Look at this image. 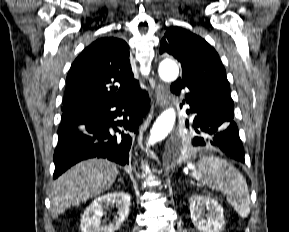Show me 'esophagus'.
Here are the masks:
<instances>
[{"label": "esophagus", "instance_id": "obj_1", "mask_svg": "<svg viewBox=\"0 0 289 232\" xmlns=\"http://www.w3.org/2000/svg\"><path fill=\"white\" fill-rule=\"evenodd\" d=\"M156 105L164 108L167 105V91L163 84L157 83L155 88Z\"/></svg>", "mask_w": 289, "mask_h": 232}]
</instances>
